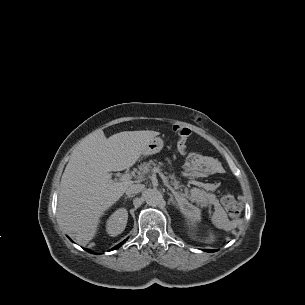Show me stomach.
Segmentation results:
<instances>
[{
  "instance_id": "1",
  "label": "stomach",
  "mask_w": 305,
  "mask_h": 305,
  "mask_svg": "<svg viewBox=\"0 0 305 305\" xmlns=\"http://www.w3.org/2000/svg\"><path fill=\"white\" fill-rule=\"evenodd\" d=\"M163 146H164L163 139L160 137H155L145 145L142 151V155L149 156L152 154H156L162 150Z\"/></svg>"
}]
</instances>
